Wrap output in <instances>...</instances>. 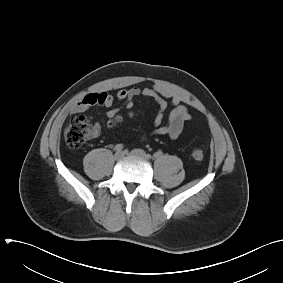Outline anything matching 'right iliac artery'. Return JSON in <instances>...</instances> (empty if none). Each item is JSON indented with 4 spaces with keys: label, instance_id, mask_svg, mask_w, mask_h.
Instances as JSON below:
<instances>
[{
    "label": "right iliac artery",
    "instance_id": "82829eb1",
    "mask_svg": "<svg viewBox=\"0 0 283 283\" xmlns=\"http://www.w3.org/2000/svg\"><path fill=\"white\" fill-rule=\"evenodd\" d=\"M123 148H124V146H123L122 144H117V145L114 147V150L118 152V151H122Z\"/></svg>",
    "mask_w": 283,
    "mask_h": 283
}]
</instances>
